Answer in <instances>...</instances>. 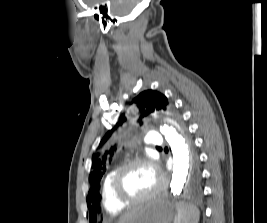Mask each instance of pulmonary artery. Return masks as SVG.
Masks as SVG:
<instances>
[{
  "label": "pulmonary artery",
  "instance_id": "1",
  "mask_svg": "<svg viewBox=\"0 0 267 223\" xmlns=\"http://www.w3.org/2000/svg\"><path fill=\"white\" fill-rule=\"evenodd\" d=\"M146 142L148 145H151V146H157L158 147V146L162 145V140L156 134H148L146 137Z\"/></svg>",
  "mask_w": 267,
  "mask_h": 223
}]
</instances>
